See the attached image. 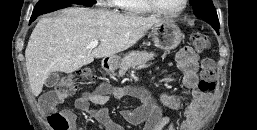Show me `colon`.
Instances as JSON below:
<instances>
[{"label":"colon","instance_id":"1","mask_svg":"<svg viewBox=\"0 0 257 130\" xmlns=\"http://www.w3.org/2000/svg\"><path fill=\"white\" fill-rule=\"evenodd\" d=\"M193 48L196 51H204L209 46V39L200 32H193L190 36ZM91 74L88 71H81L63 77L56 86V92L60 94H72L76 92L82 80L88 79ZM215 64L209 57L201 59L199 90L203 93L211 92L215 89ZM48 122L54 130H70V120L62 112H53L48 117Z\"/></svg>","mask_w":257,"mask_h":130}]
</instances>
